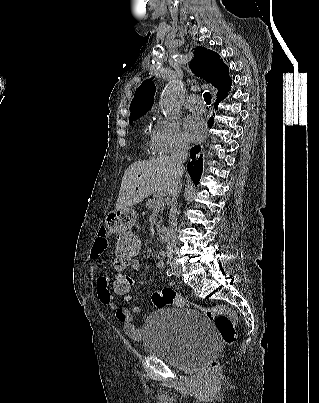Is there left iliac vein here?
<instances>
[{
	"instance_id": "left-iliac-vein-1",
	"label": "left iliac vein",
	"mask_w": 319,
	"mask_h": 403,
	"mask_svg": "<svg viewBox=\"0 0 319 403\" xmlns=\"http://www.w3.org/2000/svg\"><path fill=\"white\" fill-rule=\"evenodd\" d=\"M175 275H176V276H179V275H180V273L176 272V273H175Z\"/></svg>"
}]
</instances>
